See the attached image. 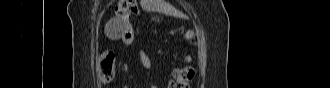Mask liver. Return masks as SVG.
<instances>
[{"label": "liver", "mask_w": 330, "mask_h": 88, "mask_svg": "<svg viewBox=\"0 0 330 88\" xmlns=\"http://www.w3.org/2000/svg\"><path fill=\"white\" fill-rule=\"evenodd\" d=\"M151 0H141L140 4L142 6V8H150V5H151Z\"/></svg>", "instance_id": "obj_1"}]
</instances>
